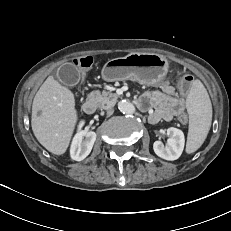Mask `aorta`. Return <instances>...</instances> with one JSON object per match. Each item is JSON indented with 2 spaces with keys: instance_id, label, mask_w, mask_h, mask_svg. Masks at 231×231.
Returning a JSON list of instances; mask_svg holds the SVG:
<instances>
[{
  "instance_id": "obj_1",
  "label": "aorta",
  "mask_w": 231,
  "mask_h": 231,
  "mask_svg": "<svg viewBox=\"0 0 231 231\" xmlns=\"http://www.w3.org/2000/svg\"><path fill=\"white\" fill-rule=\"evenodd\" d=\"M118 109L124 114H133L135 112V106L126 100L118 103Z\"/></svg>"
}]
</instances>
